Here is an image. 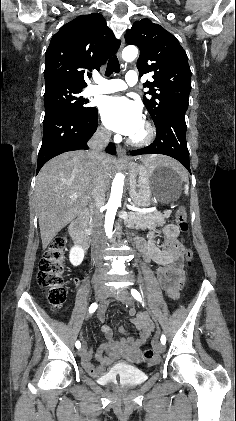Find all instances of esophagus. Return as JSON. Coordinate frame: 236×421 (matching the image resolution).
<instances>
[{
    "label": "esophagus",
    "instance_id": "34e87169",
    "mask_svg": "<svg viewBox=\"0 0 236 421\" xmlns=\"http://www.w3.org/2000/svg\"><path fill=\"white\" fill-rule=\"evenodd\" d=\"M124 44H125L124 43V38H122L121 45H120L119 51H118L119 58H121V52H122V49L124 47ZM117 155H118V160H120V161H128L126 150L124 148H122L121 146H117Z\"/></svg>",
    "mask_w": 236,
    "mask_h": 421
}]
</instances>
